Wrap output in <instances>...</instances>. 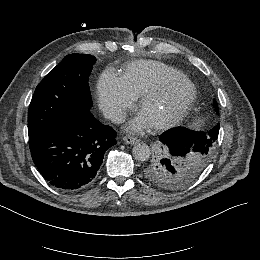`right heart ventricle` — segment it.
Masks as SVG:
<instances>
[{"mask_svg": "<svg viewBox=\"0 0 260 260\" xmlns=\"http://www.w3.org/2000/svg\"><path fill=\"white\" fill-rule=\"evenodd\" d=\"M136 77V87L142 93L147 92L164 79L176 78L182 72L176 68L157 61H141L130 67Z\"/></svg>", "mask_w": 260, "mask_h": 260, "instance_id": "right-heart-ventricle-1", "label": "right heart ventricle"}]
</instances>
